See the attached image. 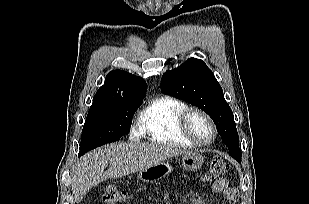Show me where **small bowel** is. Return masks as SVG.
Returning a JSON list of instances; mask_svg holds the SVG:
<instances>
[{"label": "small bowel", "instance_id": "small-bowel-1", "mask_svg": "<svg viewBox=\"0 0 309 204\" xmlns=\"http://www.w3.org/2000/svg\"><path fill=\"white\" fill-rule=\"evenodd\" d=\"M212 190L215 194L223 196L228 201H235L237 199V191L235 188L230 187L226 178H220L213 186ZM191 204H204L199 195L191 197Z\"/></svg>", "mask_w": 309, "mask_h": 204}]
</instances>
